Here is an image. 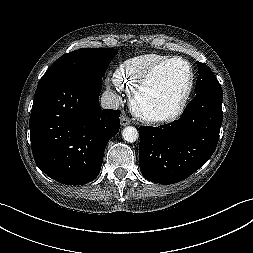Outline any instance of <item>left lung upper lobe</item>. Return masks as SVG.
Returning <instances> with one entry per match:
<instances>
[{
    "label": "left lung upper lobe",
    "mask_w": 253,
    "mask_h": 253,
    "mask_svg": "<svg viewBox=\"0 0 253 253\" xmlns=\"http://www.w3.org/2000/svg\"><path fill=\"white\" fill-rule=\"evenodd\" d=\"M197 65L199 76L195 87L196 96L203 93L223 95L222 88L210 68L201 62H197Z\"/></svg>",
    "instance_id": "obj_1"
}]
</instances>
